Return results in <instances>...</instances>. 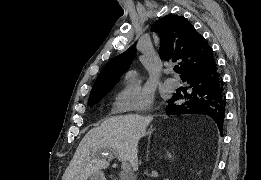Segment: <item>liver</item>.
I'll use <instances>...</instances> for the list:
<instances>
[{
	"label": "liver",
	"instance_id": "6515ba94",
	"mask_svg": "<svg viewBox=\"0 0 261 180\" xmlns=\"http://www.w3.org/2000/svg\"><path fill=\"white\" fill-rule=\"evenodd\" d=\"M152 116H111L92 128L80 142L68 170V180H87L91 174L108 168L106 160H101L105 150H116L120 162H130L133 170H138V142L145 136Z\"/></svg>",
	"mask_w": 261,
	"mask_h": 180
}]
</instances>
